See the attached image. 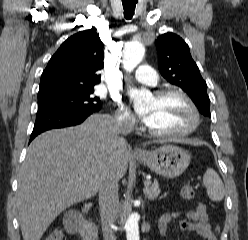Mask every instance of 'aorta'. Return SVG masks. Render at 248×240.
<instances>
[{
  "label": "aorta",
  "instance_id": "1",
  "mask_svg": "<svg viewBox=\"0 0 248 240\" xmlns=\"http://www.w3.org/2000/svg\"><path fill=\"white\" fill-rule=\"evenodd\" d=\"M145 48L140 42H131L123 50V64L127 71L131 72L143 59ZM128 94L134 101L135 106L142 105V103L151 97L147 90H140L136 88H129ZM138 217L136 214H131L126 223V237L127 240H140Z\"/></svg>",
  "mask_w": 248,
  "mask_h": 240
}]
</instances>
